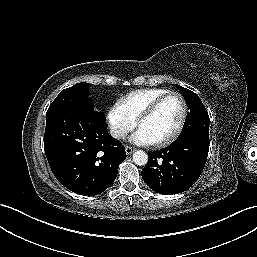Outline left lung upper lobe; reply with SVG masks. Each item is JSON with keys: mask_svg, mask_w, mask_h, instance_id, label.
<instances>
[{"mask_svg": "<svg viewBox=\"0 0 257 257\" xmlns=\"http://www.w3.org/2000/svg\"><path fill=\"white\" fill-rule=\"evenodd\" d=\"M176 86L182 92L188 109L190 110L183 132L181 133V136L179 138H183L192 134L209 135L210 119L208 116V112L204 107L202 101L200 100L199 96L184 87H181L179 85Z\"/></svg>", "mask_w": 257, "mask_h": 257, "instance_id": "1", "label": "left lung upper lobe"}]
</instances>
